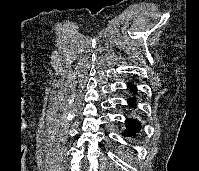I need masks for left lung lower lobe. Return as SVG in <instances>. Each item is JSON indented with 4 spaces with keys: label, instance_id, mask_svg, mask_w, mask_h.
I'll return each instance as SVG.
<instances>
[{
    "label": "left lung lower lobe",
    "instance_id": "obj_1",
    "mask_svg": "<svg viewBox=\"0 0 199 171\" xmlns=\"http://www.w3.org/2000/svg\"><path fill=\"white\" fill-rule=\"evenodd\" d=\"M128 88H130V91L133 93L137 92V88L135 85H133L132 83L128 82L127 83ZM129 104L131 107L135 108L136 104H135V98H131L128 100ZM141 129V125L140 123L133 118H127L126 119V130L124 131V136H128V137H135V134L138 133Z\"/></svg>",
    "mask_w": 199,
    "mask_h": 171
}]
</instances>
